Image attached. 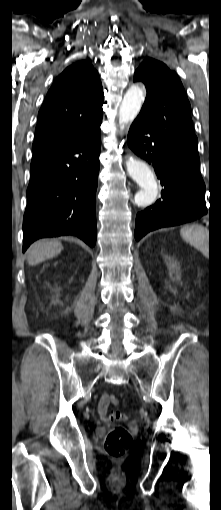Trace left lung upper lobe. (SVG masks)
<instances>
[{
	"label": "left lung upper lobe",
	"mask_w": 221,
	"mask_h": 510,
	"mask_svg": "<svg viewBox=\"0 0 221 510\" xmlns=\"http://www.w3.org/2000/svg\"><path fill=\"white\" fill-rule=\"evenodd\" d=\"M134 81H142L147 90L138 118L159 137L198 155L190 103L177 74L164 63L147 58L136 70Z\"/></svg>",
	"instance_id": "5c2ea615"
}]
</instances>
